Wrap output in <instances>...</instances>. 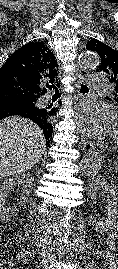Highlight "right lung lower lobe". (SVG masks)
<instances>
[{
	"instance_id": "98d812e1",
	"label": "right lung lower lobe",
	"mask_w": 118,
	"mask_h": 269,
	"mask_svg": "<svg viewBox=\"0 0 118 269\" xmlns=\"http://www.w3.org/2000/svg\"><path fill=\"white\" fill-rule=\"evenodd\" d=\"M35 111L36 107L34 105L17 99L0 100V120L12 115H20L31 119L30 116L33 115Z\"/></svg>"
}]
</instances>
